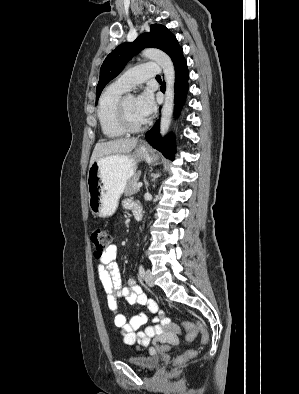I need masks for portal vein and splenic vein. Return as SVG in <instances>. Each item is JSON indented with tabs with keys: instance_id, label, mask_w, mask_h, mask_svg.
<instances>
[{
	"instance_id": "1",
	"label": "portal vein and splenic vein",
	"mask_w": 299,
	"mask_h": 394,
	"mask_svg": "<svg viewBox=\"0 0 299 394\" xmlns=\"http://www.w3.org/2000/svg\"><path fill=\"white\" fill-rule=\"evenodd\" d=\"M142 185H143V183L142 182H139V183H137V188H141L142 187Z\"/></svg>"
}]
</instances>
